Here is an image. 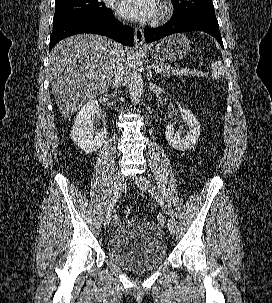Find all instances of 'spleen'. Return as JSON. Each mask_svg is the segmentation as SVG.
<instances>
[{
	"label": "spleen",
	"mask_w": 272,
	"mask_h": 303,
	"mask_svg": "<svg viewBox=\"0 0 272 303\" xmlns=\"http://www.w3.org/2000/svg\"><path fill=\"white\" fill-rule=\"evenodd\" d=\"M212 73L211 77L214 79L222 78L225 74V67L221 61H215L211 64Z\"/></svg>",
	"instance_id": "obj_1"
}]
</instances>
